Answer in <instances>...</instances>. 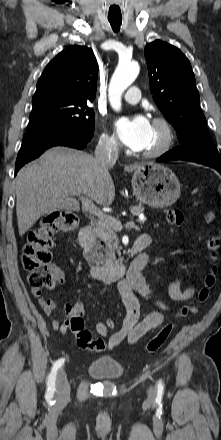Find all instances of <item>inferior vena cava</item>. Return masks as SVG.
Here are the masks:
<instances>
[{"label": "inferior vena cava", "mask_w": 221, "mask_h": 440, "mask_svg": "<svg viewBox=\"0 0 221 440\" xmlns=\"http://www.w3.org/2000/svg\"><path fill=\"white\" fill-rule=\"evenodd\" d=\"M94 156L99 163L114 165L118 158L117 143L110 139H101L95 148Z\"/></svg>", "instance_id": "1"}]
</instances>
